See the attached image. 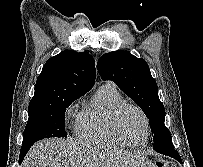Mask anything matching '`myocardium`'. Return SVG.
Returning a JSON list of instances; mask_svg holds the SVG:
<instances>
[{
  "instance_id": "1",
  "label": "myocardium",
  "mask_w": 203,
  "mask_h": 167,
  "mask_svg": "<svg viewBox=\"0 0 203 167\" xmlns=\"http://www.w3.org/2000/svg\"><path fill=\"white\" fill-rule=\"evenodd\" d=\"M127 109H135L143 118L144 125H145V135L144 138L141 142L139 143H132L128 141L123 134L121 133L119 129V119L121 115L127 110ZM110 128L113 134L120 140L122 141L125 145L130 146V147H142L145 145L147 142L149 135H150V120L146 114V112L137 104L130 103V102H124L120 104L117 109L114 111L111 119H110Z\"/></svg>"
}]
</instances>
